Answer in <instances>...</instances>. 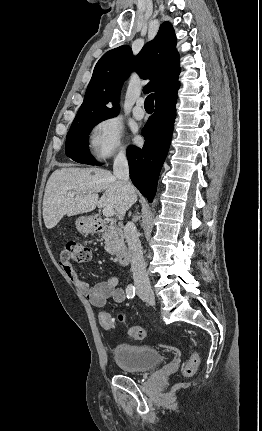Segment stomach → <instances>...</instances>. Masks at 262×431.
<instances>
[{
	"mask_svg": "<svg viewBox=\"0 0 262 431\" xmlns=\"http://www.w3.org/2000/svg\"><path fill=\"white\" fill-rule=\"evenodd\" d=\"M76 228L81 233H95L96 224L91 216H82L76 220Z\"/></svg>",
	"mask_w": 262,
	"mask_h": 431,
	"instance_id": "1",
	"label": "stomach"
}]
</instances>
